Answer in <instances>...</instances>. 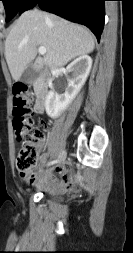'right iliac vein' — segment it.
Masks as SVG:
<instances>
[{"instance_id": "right-iliac-vein-1", "label": "right iliac vein", "mask_w": 133, "mask_h": 253, "mask_svg": "<svg viewBox=\"0 0 133 253\" xmlns=\"http://www.w3.org/2000/svg\"><path fill=\"white\" fill-rule=\"evenodd\" d=\"M66 155H67V153H66V151L65 150H62L61 152H60V154H59V157H58V164H61V163H63L64 161H65V159H66Z\"/></svg>"}]
</instances>
